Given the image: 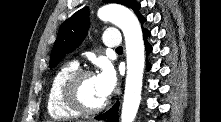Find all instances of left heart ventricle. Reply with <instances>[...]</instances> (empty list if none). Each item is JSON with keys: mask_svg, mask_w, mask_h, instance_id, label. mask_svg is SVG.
I'll return each instance as SVG.
<instances>
[{"mask_svg": "<svg viewBox=\"0 0 221 122\" xmlns=\"http://www.w3.org/2000/svg\"><path fill=\"white\" fill-rule=\"evenodd\" d=\"M79 94L82 101L90 107L98 106L106 99L97 86L95 76L87 77L82 80Z\"/></svg>", "mask_w": 221, "mask_h": 122, "instance_id": "1", "label": "left heart ventricle"}]
</instances>
